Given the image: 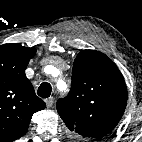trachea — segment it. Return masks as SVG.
Returning <instances> with one entry per match:
<instances>
[{"instance_id":"trachea-1","label":"trachea","mask_w":142,"mask_h":142,"mask_svg":"<svg viewBox=\"0 0 142 142\" xmlns=\"http://www.w3.org/2000/svg\"><path fill=\"white\" fill-rule=\"evenodd\" d=\"M51 91V85L47 82H43L38 88V95L42 98H48L51 95Z\"/></svg>"}]
</instances>
